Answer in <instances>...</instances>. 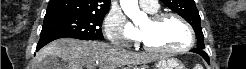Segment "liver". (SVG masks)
<instances>
[{"instance_id": "obj_1", "label": "liver", "mask_w": 246, "mask_h": 69, "mask_svg": "<svg viewBox=\"0 0 246 69\" xmlns=\"http://www.w3.org/2000/svg\"><path fill=\"white\" fill-rule=\"evenodd\" d=\"M49 56L53 65L58 64L57 59L67 62V69H118L130 64H147L158 58L156 55L134 53L103 42L61 38L37 53L35 69H54L47 68L49 62L45 60Z\"/></svg>"}]
</instances>
